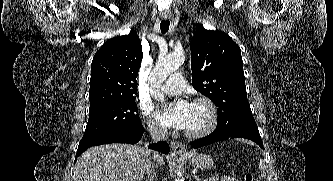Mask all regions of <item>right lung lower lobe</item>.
Returning a JSON list of instances; mask_svg holds the SVG:
<instances>
[{
    "instance_id": "98d812e1",
    "label": "right lung lower lobe",
    "mask_w": 333,
    "mask_h": 181,
    "mask_svg": "<svg viewBox=\"0 0 333 181\" xmlns=\"http://www.w3.org/2000/svg\"><path fill=\"white\" fill-rule=\"evenodd\" d=\"M143 133H144V128L128 134L110 135L106 137L95 138L92 140L81 141L78 146L76 158L79 157L85 150H87L91 146H97L108 143L136 144L142 138ZM149 148L157 150L164 154H167L170 151L169 145L165 141H160L156 144H150Z\"/></svg>"
}]
</instances>
